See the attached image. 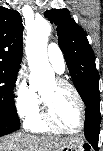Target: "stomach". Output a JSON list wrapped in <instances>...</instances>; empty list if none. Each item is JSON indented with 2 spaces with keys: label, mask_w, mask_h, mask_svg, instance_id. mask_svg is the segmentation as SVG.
I'll return each mask as SVG.
<instances>
[{
  "label": "stomach",
  "mask_w": 103,
  "mask_h": 151,
  "mask_svg": "<svg viewBox=\"0 0 103 151\" xmlns=\"http://www.w3.org/2000/svg\"><path fill=\"white\" fill-rule=\"evenodd\" d=\"M85 144L83 140H76V141H70L63 145H61L57 151H84L85 150Z\"/></svg>",
  "instance_id": "0dacf381"
}]
</instances>
